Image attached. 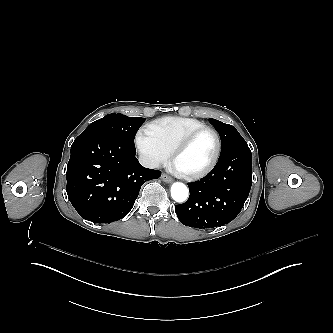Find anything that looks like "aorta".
Wrapping results in <instances>:
<instances>
[{
    "label": "aorta",
    "mask_w": 333,
    "mask_h": 333,
    "mask_svg": "<svg viewBox=\"0 0 333 333\" xmlns=\"http://www.w3.org/2000/svg\"><path fill=\"white\" fill-rule=\"evenodd\" d=\"M170 192L172 199L178 203L185 202L189 197V190L187 186L181 182L173 183Z\"/></svg>",
    "instance_id": "762f6f07"
}]
</instances>
